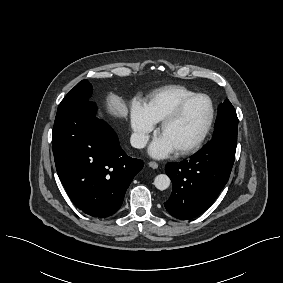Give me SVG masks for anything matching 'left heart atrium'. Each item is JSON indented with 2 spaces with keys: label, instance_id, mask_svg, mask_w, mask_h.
<instances>
[{
  "label": "left heart atrium",
  "instance_id": "1",
  "mask_svg": "<svg viewBox=\"0 0 283 283\" xmlns=\"http://www.w3.org/2000/svg\"><path fill=\"white\" fill-rule=\"evenodd\" d=\"M174 148L162 137H158L149 148L150 154L155 158H165L174 152Z\"/></svg>",
  "mask_w": 283,
  "mask_h": 283
}]
</instances>
